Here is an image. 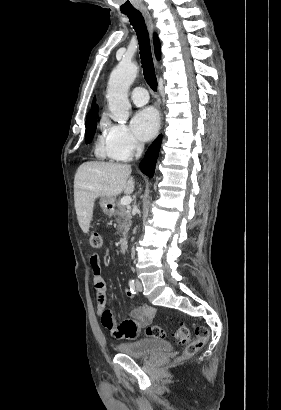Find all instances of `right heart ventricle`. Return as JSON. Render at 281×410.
Wrapping results in <instances>:
<instances>
[{
  "label": "right heart ventricle",
  "instance_id": "obj_1",
  "mask_svg": "<svg viewBox=\"0 0 281 410\" xmlns=\"http://www.w3.org/2000/svg\"><path fill=\"white\" fill-rule=\"evenodd\" d=\"M100 127H101V130L96 138L95 148H94L96 157L99 159L121 160L114 153L113 149L111 148L109 144L107 134H106V123L102 121L100 123Z\"/></svg>",
  "mask_w": 281,
  "mask_h": 410
}]
</instances>
